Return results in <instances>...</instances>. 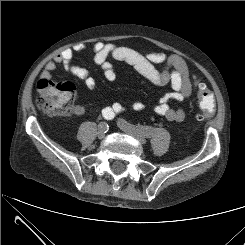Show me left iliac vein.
<instances>
[{"label":"left iliac vein","instance_id":"1","mask_svg":"<svg viewBox=\"0 0 245 245\" xmlns=\"http://www.w3.org/2000/svg\"><path fill=\"white\" fill-rule=\"evenodd\" d=\"M118 125H119L120 129H122L125 133H127V134L133 136L134 138H136L141 144H145L146 143V139H145V137L142 134H140L139 132H137L134 129H131V128H128V127L124 126L121 123V120L118 121Z\"/></svg>","mask_w":245,"mask_h":245}]
</instances>
